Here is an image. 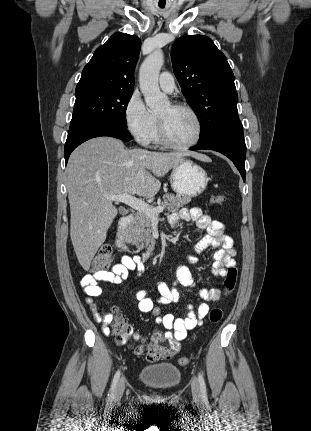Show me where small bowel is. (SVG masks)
<instances>
[{
  "instance_id": "small-bowel-1",
  "label": "small bowel",
  "mask_w": 311,
  "mask_h": 431,
  "mask_svg": "<svg viewBox=\"0 0 311 431\" xmlns=\"http://www.w3.org/2000/svg\"><path fill=\"white\" fill-rule=\"evenodd\" d=\"M169 224L174 227L180 221H194L200 229H203L207 234L196 244L195 252L201 253L209 247L217 248L214 253V263L212 265V273L216 277H224L226 269L236 264L234 257L236 251L234 249L233 239L224 234V225L217 220H212L208 215L202 213L199 208L181 209L178 212L172 213L169 218ZM189 261L195 263L197 258L190 256ZM142 271L143 263L138 256L122 257L121 262L114 264L109 270L94 272L84 276L81 280V285L86 294V302L99 323L102 322L99 315L96 313V303L92 297H98L102 294V288L98 285L100 282H108L119 284L129 276L130 272ZM179 283L186 287H195V282L185 265H180L176 269V282L169 285L166 282H158L156 285L159 297L153 300L149 296L148 290H139L135 297L138 301V309L142 313H151L155 317L157 324L162 325L168 332L164 335L167 338L176 341L183 340L189 330L200 326L203 319L208 314L210 308L206 303H201L198 307L189 306L188 313L184 317L176 318L173 314L161 315L159 305H167L176 303L180 299V293L175 285ZM198 295L207 301H217L222 297V292L219 288L202 287L197 289ZM106 335L110 334L107 327L103 329ZM163 336L155 334L153 338Z\"/></svg>"
}]
</instances>
